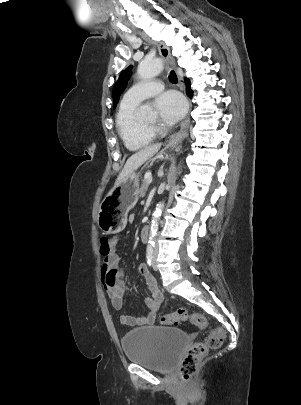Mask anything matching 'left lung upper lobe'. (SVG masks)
<instances>
[{
    "label": "left lung upper lobe",
    "instance_id": "1",
    "mask_svg": "<svg viewBox=\"0 0 301 405\" xmlns=\"http://www.w3.org/2000/svg\"><path fill=\"white\" fill-rule=\"evenodd\" d=\"M131 69H132V66H129L124 71H122L119 76L118 81L114 85V88H113V106H114V108L116 107V105L119 101V97H120L121 93L124 91V89L127 85L128 79L131 76Z\"/></svg>",
    "mask_w": 301,
    "mask_h": 405
}]
</instances>
